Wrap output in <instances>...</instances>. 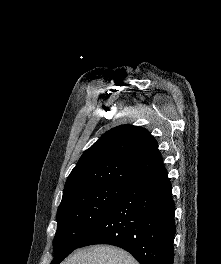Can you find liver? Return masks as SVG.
<instances>
[{"label":"liver","instance_id":"6515ba94","mask_svg":"<svg viewBox=\"0 0 221 264\" xmlns=\"http://www.w3.org/2000/svg\"><path fill=\"white\" fill-rule=\"evenodd\" d=\"M62 264H139L128 252L113 246H92L76 251Z\"/></svg>","mask_w":221,"mask_h":264}]
</instances>
